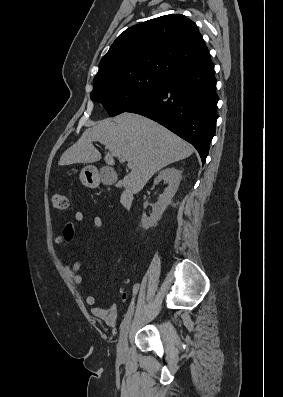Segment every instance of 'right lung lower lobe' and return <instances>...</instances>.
<instances>
[{
	"label": "right lung lower lobe",
	"mask_w": 283,
	"mask_h": 397,
	"mask_svg": "<svg viewBox=\"0 0 283 397\" xmlns=\"http://www.w3.org/2000/svg\"><path fill=\"white\" fill-rule=\"evenodd\" d=\"M214 64L186 69L127 112L148 117L191 143L204 164L218 118Z\"/></svg>",
	"instance_id": "98d812e1"
}]
</instances>
